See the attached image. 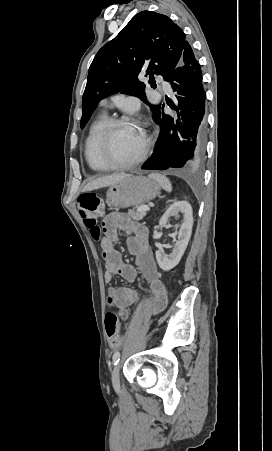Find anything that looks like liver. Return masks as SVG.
I'll return each instance as SVG.
<instances>
[{"label":"liver","instance_id":"6515ba94","mask_svg":"<svg viewBox=\"0 0 272 451\" xmlns=\"http://www.w3.org/2000/svg\"><path fill=\"white\" fill-rule=\"evenodd\" d=\"M128 174H111V176H105V178H97V180H92L88 182L83 188V192H90V190H97V188H105V186H112V184H117L122 178H125Z\"/></svg>","mask_w":272,"mask_h":451}]
</instances>
